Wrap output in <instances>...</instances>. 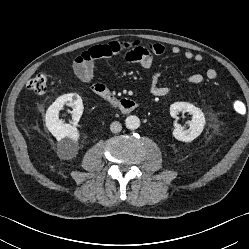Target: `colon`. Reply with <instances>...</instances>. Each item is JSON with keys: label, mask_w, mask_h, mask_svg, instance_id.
Instances as JSON below:
<instances>
[{"label": "colon", "mask_w": 249, "mask_h": 249, "mask_svg": "<svg viewBox=\"0 0 249 249\" xmlns=\"http://www.w3.org/2000/svg\"><path fill=\"white\" fill-rule=\"evenodd\" d=\"M48 86V74L46 72H39L32 77L27 83V89L36 94L45 93ZM233 111L237 114H243L245 111V104L242 100L236 99L232 104Z\"/></svg>", "instance_id": "obj_1"}]
</instances>
